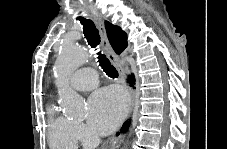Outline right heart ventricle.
Masks as SVG:
<instances>
[{"label":"right heart ventricle","mask_w":227,"mask_h":149,"mask_svg":"<svg viewBox=\"0 0 227 149\" xmlns=\"http://www.w3.org/2000/svg\"><path fill=\"white\" fill-rule=\"evenodd\" d=\"M48 137L51 146L61 149H72L77 144L74 122L65 117L50 104L47 107Z\"/></svg>","instance_id":"right-heart-ventricle-1"}]
</instances>
